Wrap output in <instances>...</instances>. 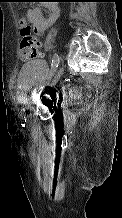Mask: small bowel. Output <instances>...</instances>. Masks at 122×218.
<instances>
[{
    "instance_id": "small-bowel-1",
    "label": "small bowel",
    "mask_w": 122,
    "mask_h": 218,
    "mask_svg": "<svg viewBox=\"0 0 122 218\" xmlns=\"http://www.w3.org/2000/svg\"><path fill=\"white\" fill-rule=\"evenodd\" d=\"M45 9L48 11V17L44 16L43 10L41 7L36 6L28 9L26 18L20 17L19 24L22 25L27 21L33 26L34 32L41 36L45 30L52 25L55 20L58 18L59 9L57 5L52 0H47L44 3ZM43 53L38 52V57H42Z\"/></svg>"
}]
</instances>
